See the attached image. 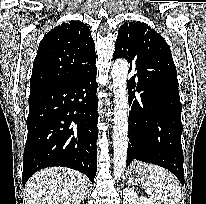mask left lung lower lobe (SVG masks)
<instances>
[{
	"instance_id": "0a47b994",
	"label": "left lung lower lobe",
	"mask_w": 206,
	"mask_h": 204,
	"mask_svg": "<svg viewBox=\"0 0 206 204\" xmlns=\"http://www.w3.org/2000/svg\"><path fill=\"white\" fill-rule=\"evenodd\" d=\"M135 68L128 82L129 143L127 166L133 159L159 165L172 172L184 184L181 145V102L178 84L163 80L147 84L144 66ZM136 78V81H135ZM135 92L140 93L138 96Z\"/></svg>"
}]
</instances>
